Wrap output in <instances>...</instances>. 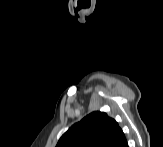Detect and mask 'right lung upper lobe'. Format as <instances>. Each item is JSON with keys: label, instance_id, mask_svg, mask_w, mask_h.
Listing matches in <instances>:
<instances>
[{"label": "right lung upper lobe", "instance_id": "1", "mask_svg": "<svg viewBox=\"0 0 163 147\" xmlns=\"http://www.w3.org/2000/svg\"><path fill=\"white\" fill-rule=\"evenodd\" d=\"M124 137L114 119L104 112L95 111L70 127L56 147H114Z\"/></svg>", "mask_w": 163, "mask_h": 147}]
</instances>
